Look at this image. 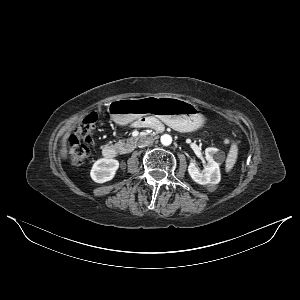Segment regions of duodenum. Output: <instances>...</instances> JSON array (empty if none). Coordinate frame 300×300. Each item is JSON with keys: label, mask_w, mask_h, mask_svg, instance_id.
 <instances>
[{"label": "duodenum", "mask_w": 300, "mask_h": 300, "mask_svg": "<svg viewBox=\"0 0 300 300\" xmlns=\"http://www.w3.org/2000/svg\"><path fill=\"white\" fill-rule=\"evenodd\" d=\"M120 149L116 145H105L102 154L105 158L114 159L119 155Z\"/></svg>", "instance_id": "obj_1"}]
</instances>
